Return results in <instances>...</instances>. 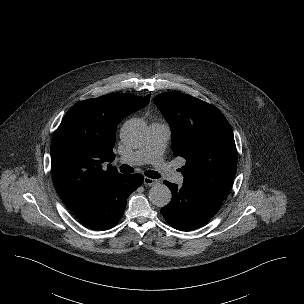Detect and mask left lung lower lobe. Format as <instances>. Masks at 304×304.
Here are the masks:
<instances>
[{"label": "left lung lower lobe", "instance_id": "left-lung-lower-lobe-1", "mask_svg": "<svg viewBox=\"0 0 304 304\" xmlns=\"http://www.w3.org/2000/svg\"><path fill=\"white\" fill-rule=\"evenodd\" d=\"M172 192V201L161 209L167 223L177 230L196 229L212 218L221 207L223 200L187 186L178 187L164 181Z\"/></svg>", "mask_w": 304, "mask_h": 304}]
</instances>
